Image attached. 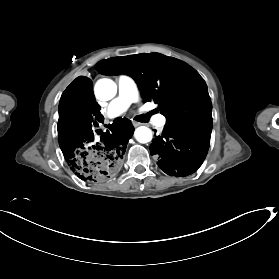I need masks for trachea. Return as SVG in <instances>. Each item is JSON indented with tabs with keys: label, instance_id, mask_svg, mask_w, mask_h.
I'll return each mask as SVG.
<instances>
[{
	"label": "trachea",
	"instance_id": "trachea-1",
	"mask_svg": "<svg viewBox=\"0 0 279 279\" xmlns=\"http://www.w3.org/2000/svg\"><path fill=\"white\" fill-rule=\"evenodd\" d=\"M139 119H140L141 122H146L148 120V115H145V114L140 115Z\"/></svg>",
	"mask_w": 279,
	"mask_h": 279
}]
</instances>
